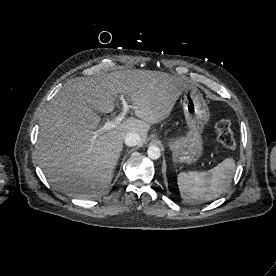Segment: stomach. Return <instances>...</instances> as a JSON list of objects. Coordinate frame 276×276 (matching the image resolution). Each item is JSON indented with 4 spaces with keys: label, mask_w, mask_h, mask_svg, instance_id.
<instances>
[{
    "label": "stomach",
    "mask_w": 276,
    "mask_h": 276,
    "mask_svg": "<svg viewBox=\"0 0 276 276\" xmlns=\"http://www.w3.org/2000/svg\"><path fill=\"white\" fill-rule=\"evenodd\" d=\"M182 106L188 130L184 136L169 140L168 146L174 162L191 165L203 155L202 134L210 113L202 94L196 88L183 92Z\"/></svg>",
    "instance_id": "0dacf381"
}]
</instances>
